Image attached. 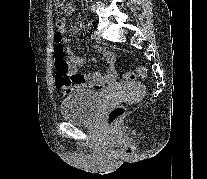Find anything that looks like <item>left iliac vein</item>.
I'll list each match as a JSON object with an SVG mask.
<instances>
[{
    "label": "left iliac vein",
    "mask_w": 207,
    "mask_h": 179,
    "mask_svg": "<svg viewBox=\"0 0 207 179\" xmlns=\"http://www.w3.org/2000/svg\"><path fill=\"white\" fill-rule=\"evenodd\" d=\"M98 27H99V24H98V23H92V24H91V29H92V30H96ZM93 37H94L96 40H99V41L101 40V35H100V33H99L98 31H95V32H94Z\"/></svg>",
    "instance_id": "obj_1"
}]
</instances>
